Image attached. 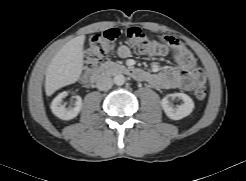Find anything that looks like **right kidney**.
Here are the masks:
<instances>
[{
	"mask_svg": "<svg viewBox=\"0 0 246 181\" xmlns=\"http://www.w3.org/2000/svg\"><path fill=\"white\" fill-rule=\"evenodd\" d=\"M67 94V92L60 93L54 98L50 106L52 113L62 120L75 118L82 108V99L80 96H76V102L73 107L70 106L67 108L65 105H62V98L66 97Z\"/></svg>",
	"mask_w": 246,
	"mask_h": 181,
	"instance_id": "obj_1",
	"label": "right kidney"
}]
</instances>
